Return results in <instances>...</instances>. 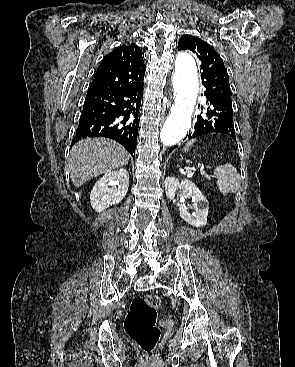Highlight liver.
<instances>
[{
  "label": "liver",
  "mask_w": 295,
  "mask_h": 367,
  "mask_svg": "<svg viewBox=\"0 0 295 367\" xmlns=\"http://www.w3.org/2000/svg\"><path fill=\"white\" fill-rule=\"evenodd\" d=\"M129 158L127 150L113 140L84 139L72 147L67 166L74 186L80 187L95 176L125 166Z\"/></svg>",
  "instance_id": "1"
}]
</instances>
